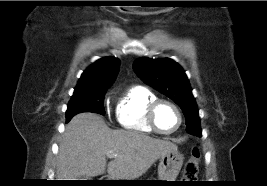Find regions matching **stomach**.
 <instances>
[{
	"label": "stomach",
	"mask_w": 267,
	"mask_h": 186,
	"mask_svg": "<svg viewBox=\"0 0 267 186\" xmlns=\"http://www.w3.org/2000/svg\"><path fill=\"white\" fill-rule=\"evenodd\" d=\"M183 161L184 156L178 150H172L161 155L158 165V181H175Z\"/></svg>",
	"instance_id": "1"
}]
</instances>
